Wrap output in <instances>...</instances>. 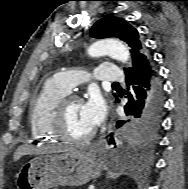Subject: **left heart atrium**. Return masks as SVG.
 <instances>
[{"label":"left heart atrium","mask_w":188,"mask_h":189,"mask_svg":"<svg viewBox=\"0 0 188 189\" xmlns=\"http://www.w3.org/2000/svg\"><path fill=\"white\" fill-rule=\"evenodd\" d=\"M83 110L89 124L95 128L99 126L106 116V105L102 96L92 92L90 97L83 103Z\"/></svg>","instance_id":"39dd6f15"}]
</instances>
